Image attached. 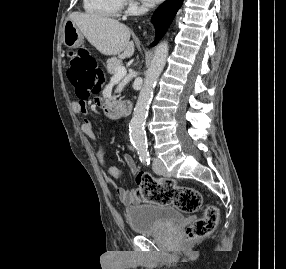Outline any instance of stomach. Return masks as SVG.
I'll use <instances>...</instances> for the list:
<instances>
[{"label": "stomach", "instance_id": "1", "mask_svg": "<svg viewBox=\"0 0 286 269\" xmlns=\"http://www.w3.org/2000/svg\"><path fill=\"white\" fill-rule=\"evenodd\" d=\"M84 41L83 33L71 20L63 27V43L69 48H78Z\"/></svg>", "mask_w": 286, "mask_h": 269}]
</instances>
